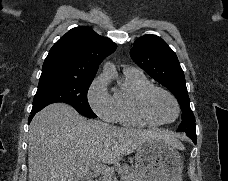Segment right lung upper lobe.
<instances>
[{
  "mask_svg": "<svg viewBox=\"0 0 228 181\" xmlns=\"http://www.w3.org/2000/svg\"><path fill=\"white\" fill-rule=\"evenodd\" d=\"M116 44L87 26L76 27L62 36L46 57L41 77L93 80L99 64L115 51Z\"/></svg>",
  "mask_w": 228,
  "mask_h": 181,
  "instance_id": "cb5924a9",
  "label": "right lung upper lobe"
}]
</instances>
